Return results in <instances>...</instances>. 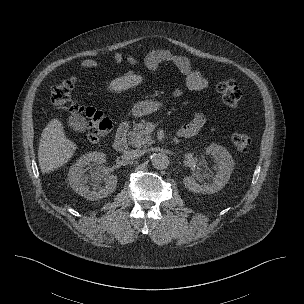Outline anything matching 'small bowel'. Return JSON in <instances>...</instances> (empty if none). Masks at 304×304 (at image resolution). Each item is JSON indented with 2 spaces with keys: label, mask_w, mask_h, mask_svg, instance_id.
Instances as JSON below:
<instances>
[{
  "label": "small bowel",
  "mask_w": 304,
  "mask_h": 304,
  "mask_svg": "<svg viewBox=\"0 0 304 304\" xmlns=\"http://www.w3.org/2000/svg\"><path fill=\"white\" fill-rule=\"evenodd\" d=\"M112 62L118 64L124 59L120 53H114L111 56ZM126 61L131 65H137L138 60L131 55L125 57ZM163 62L172 63L185 77L186 88L193 91H201L209 87V80L198 70L194 69L191 61L183 55H179L165 49H156L150 51L145 59L144 66L148 71H154L157 66ZM102 64L99 60L86 59L82 61L81 68H95ZM183 89L177 88L174 91V96L182 95ZM205 123V116L202 113H197L192 121L183 126L179 130V135L182 137H191L199 132Z\"/></svg>",
  "instance_id": "c3829d8e"
}]
</instances>
